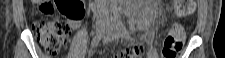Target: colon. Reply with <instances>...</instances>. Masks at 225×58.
I'll use <instances>...</instances> for the list:
<instances>
[{
	"label": "colon",
	"instance_id": "1",
	"mask_svg": "<svg viewBox=\"0 0 225 58\" xmlns=\"http://www.w3.org/2000/svg\"><path fill=\"white\" fill-rule=\"evenodd\" d=\"M36 13L40 17L34 22V29L38 41L50 55L57 54L67 43L68 25L56 16L60 12L69 20H81L85 15L83 1L57 0V1H33ZM194 10V1H173V12L176 17L184 18ZM185 38V30L182 26L173 25L162 43V57L175 58L181 51ZM143 46L137 45L120 51L114 58H139L143 52Z\"/></svg>",
	"mask_w": 225,
	"mask_h": 58
}]
</instances>
